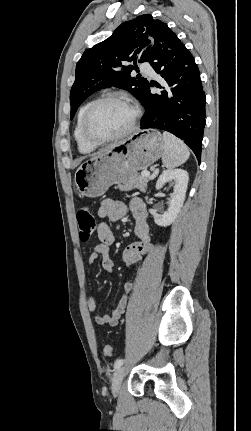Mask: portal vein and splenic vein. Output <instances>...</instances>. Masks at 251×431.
I'll return each mask as SVG.
<instances>
[{
    "label": "portal vein and splenic vein",
    "mask_w": 251,
    "mask_h": 431,
    "mask_svg": "<svg viewBox=\"0 0 251 431\" xmlns=\"http://www.w3.org/2000/svg\"><path fill=\"white\" fill-rule=\"evenodd\" d=\"M141 174H142V176H144V177H147V178H149V177H150V173H149V172H147V171H144V172H142Z\"/></svg>",
    "instance_id": "18ae733b"
}]
</instances>
